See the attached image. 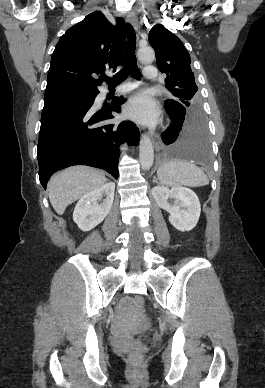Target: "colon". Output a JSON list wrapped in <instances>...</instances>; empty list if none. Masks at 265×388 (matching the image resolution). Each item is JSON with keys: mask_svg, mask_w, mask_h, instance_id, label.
<instances>
[{"mask_svg": "<svg viewBox=\"0 0 265 388\" xmlns=\"http://www.w3.org/2000/svg\"><path fill=\"white\" fill-rule=\"evenodd\" d=\"M134 306L138 310H142L145 306V298L137 296L134 299ZM124 352L127 353L133 360L140 358V350L138 348H124Z\"/></svg>", "mask_w": 265, "mask_h": 388, "instance_id": "colon-1", "label": "colon"}]
</instances>
